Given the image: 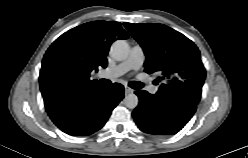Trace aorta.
Listing matches in <instances>:
<instances>
[{"mask_svg": "<svg viewBox=\"0 0 248 158\" xmlns=\"http://www.w3.org/2000/svg\"><path fill=\"white\" fill-rule=\"evenodd\" d=\"M129 45L124 40L115 41L110 48V55L117 61L125 60L129 55ZM124 103L129 109H134L139 103V99L136 94L130 93L125 96Z\"/></svg>", "mask_w": 248, "mask_h": 158, "instance_id": "aorta-1", "label": "aorta"}]
</instances>
